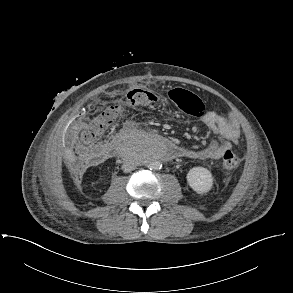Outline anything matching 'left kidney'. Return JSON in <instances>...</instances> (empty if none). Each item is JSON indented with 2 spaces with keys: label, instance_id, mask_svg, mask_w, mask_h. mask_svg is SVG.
Instances as JSON below:
<instances>
[{
  "label": "left kidney",
  "instance_id": "obj_1",
  "mask_svg": "<svg viewBox=\"0 0 293 293\" xmlns=\"http://www.w3.org/2000/svg\"><path fill=\"white\" fill-rule=\"evenodd\" d=\"M186 178L189 186L198 194H206L213 187V177L207 168L193 167Z\"/></svg>",
  "mask_w": 293,
  "mask_h": 293
}]
</instances>
